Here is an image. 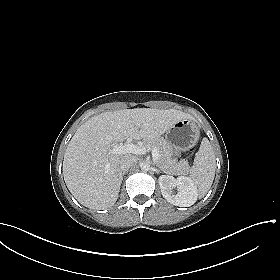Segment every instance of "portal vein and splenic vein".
Instances as JSON below:
<instances>
[{"mask_svg":"<svg viewBox=\"0 0 280 280\" xmlns=\"http://www.w3.org/2000/svg\"><path fill=\"white\" fill-rule=\"evenodd\" d=\"M149 150L147 147H140L137 145H134L132 143L128 144H115L111 148V153L113 154H126V153H133V154H145ZM159 158V151L156 147H153L152 149V159L154 162H156ZM109 166L107 165V170Z\"/></svg>","mask_w":280,"mask_h":280,"instance_id":"18ae733b","label":"portal vein and splenic vein"}]
</instances>
